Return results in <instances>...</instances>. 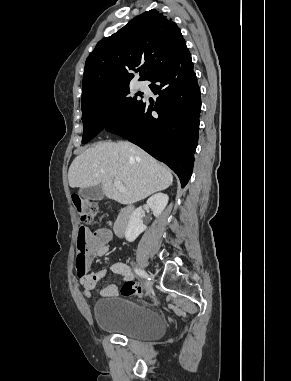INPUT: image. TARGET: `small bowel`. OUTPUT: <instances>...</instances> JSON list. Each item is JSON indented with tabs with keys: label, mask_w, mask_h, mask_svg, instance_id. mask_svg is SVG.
Segmentation results:
<instances>
[{
	"label": "small bowel",
	"mask_w": 291,
	"mask_h": 381,
	"mask_svg": "<svg viewBox=\"0 0 291 381\" xmlns=\"http://www.w3.org/2000/svg\"><path fill=\"white\" fill-rule=\"evenodd\" d=\"M89 235V256L96 258L104 256L109 251V243L112 239V231L109 228H99L93 232L88 231ZM110 271L122 277L123 281H130L133 279V274L129 267L123 262H116L110 267ZM109 271L107 269H100L96 272L86 274L80 278V285L86 297H90L91 292L96 287L97 283L103 280ZM121 281L107 285L101 291L103 297H114L119 295Z\"/></svg>",
	"instance_id": "small-bowel-1"
}]
</instances>
